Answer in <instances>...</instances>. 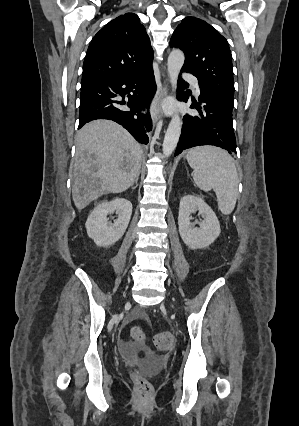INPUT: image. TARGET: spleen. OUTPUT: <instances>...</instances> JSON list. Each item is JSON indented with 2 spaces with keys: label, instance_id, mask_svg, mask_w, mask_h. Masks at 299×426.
Instances as JSON below:
<instances>
[{
  "label": "spleen",
  "instance_id": "spleen-1",
  "mask_svg": "<svg viewBox=\"0 0 299 426\" xmlns=\"http://www.w3.org/2000/svg\"><path fill=\"white\" fill-rule=\"evenodd\" d=\"M186 159L197 186L204 191L213 189L220 211L230 214L238 195V174L232 158L220 148L202 146L189 150Z\"/></svg>",
  "mask_w": 299,
  "mask_h": 426
}]
</instances>
